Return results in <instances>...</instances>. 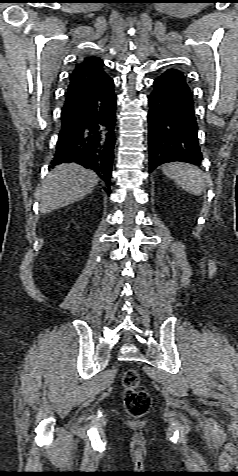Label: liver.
Listing matches in <instances>:
<instances>
[{"mask_svg": "<svg viewBox=\"0 0 238 476\" xmlns=\"http://www.w3.org/2000/svg\"><path fill=\"white\" fill-rule=\"evenodd\" d=\"M99 182L97 174L84 167L69 163L49 172L36 193L40 212L50 213L75 203L91 193Z\"/></svg>", "mask_w": 238, "mask_h": 476, "instance_id": "6515ba94", "label": "liver"}]
</instances>
